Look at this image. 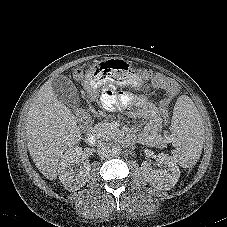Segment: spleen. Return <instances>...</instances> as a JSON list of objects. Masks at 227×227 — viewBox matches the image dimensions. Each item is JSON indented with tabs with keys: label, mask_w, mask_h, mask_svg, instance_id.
Returning a JSON list of instances; mask_svg holds the SVG:
<instances>
[{
	"label": "spleen",
	"mask_w": 227,
	"mask_h": 227,
	"mask_svg": "<svg viewBox=\"0 0 227 227\" xmlns=\"http://www.w3.org/2000/svg\"><path fill=\"white\" fill-rule=\"evenodd\" d=\"M173 110V128L178 134L175 141L180 147L175 151L174 157L182 167L188 168L196 163L201 152L204 131L199 121L200 113L187 96L176 98Z\"/></svg>",
	"instance_id": "spleen-1"
}]
</instances>
